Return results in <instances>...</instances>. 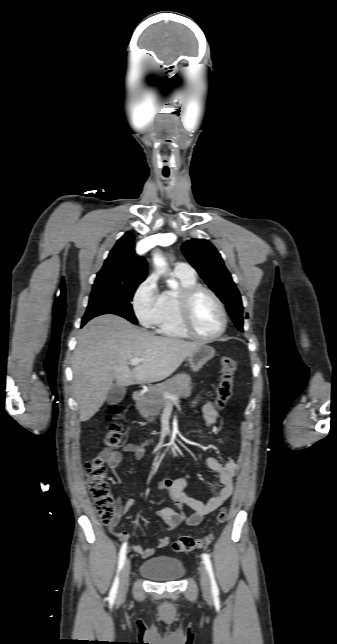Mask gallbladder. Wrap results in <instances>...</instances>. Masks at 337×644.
<instances>
[{"label": "gallbladder", "instance_id": "gallbladder-1", "mask_svg": "<svg viewBox=\"0 0 337 644\" xmlns=\"http://www.w3.org/2000/svg\"><path fill=\"white\" fill-rule=\"evenodd\" d=\"M126 394V388L118 386L116 384L112 385L108 394H107V403L109 405H116L120 403Z\"/></svg>", "mask_w": 337, "mask_h": 644}]
</instances>
